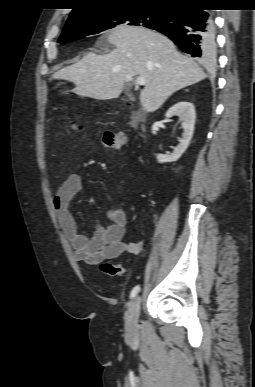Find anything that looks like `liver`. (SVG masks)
<instances>
[{"instance_id": "1", "label": "liver", "mask_w": 255, "mask_h": 387, "mask_svg": "<svg viewBox=\"0 0 255 387\" xmlns=\"http://www.w3.org/2000/svg\"><path fill=\"white\" fill-rule=\"evenodd\" d=\"M107 40L115 46L110 53L89 52L54 78L74 83L78 95L108 100L119 97L128 76L144 77L140 102L148 113L158 110L173 93L206 78L193 60L157 31L124 26L113 30Z\"/></svg>"}]
</instances>
